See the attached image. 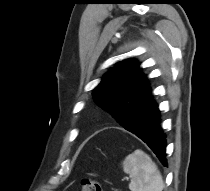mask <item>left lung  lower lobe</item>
<instances>
[{"instance_id":"0a47b994","label":"left lung lower lobe","mask_w":210,"mask_h":191,"mask_svg":"<svg viewBox=\"0 0 210 191\" xmlns=\"http://www.w3.org/2000/svg\"><path fill=\"white\" fill-rule=\"evenodd\" d=\"M127 121L136 122V126L130 132L142 139L167 167L166 139L160 125V111L152 94L130 109Z\"/></svg>"}]
</instances>
